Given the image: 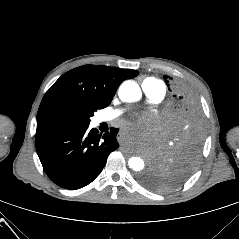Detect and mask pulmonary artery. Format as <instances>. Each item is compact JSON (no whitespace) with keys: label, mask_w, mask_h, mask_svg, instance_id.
Listing matches in <instances>:
<instances>
[{"label":"pulmonary artery","mask_w":239,"mask_h":239,"mask_svg":"<svg viewBox=\"0 0 239 239\" xmlns=\"http://www.w3.org/2000/svg\"><path fill=\"white\" fill-rule=\"evenodd\" d=\"M142 89L145 96L152 103H159L163 100L166 94V86L161 80L145 79L142 82ZM122 113L121 110H112L101 115L100 121L107 122L117 118Z\"/></svg>","instance_id":"pulmonary-artery-1"}]
</instances>
